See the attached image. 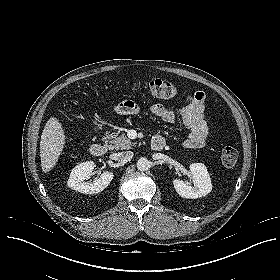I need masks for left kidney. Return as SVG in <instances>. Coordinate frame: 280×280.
<instances>
[{
	"label": "left kidney",
	"mask_w": 280,
	"mask_h": 280,
	"mask_svg": "<svg viewBox=\"0 0 280 280\" xmlns=\"http://www.w3.org/2000/svg\"><path fill=\"white\" fill-rule=\"evenodd\" d=\"M193 186L190 182L174 179L173 185L176 192L183 198L195 199L206 196L212 191V183L206 166L203 163L190 165Z\"/></svg>",
	"instance_id": "obj_1"
}]
</instances>
